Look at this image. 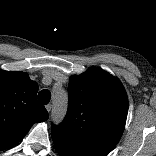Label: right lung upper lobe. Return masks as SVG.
<instances>
[{"instance_id": "cb5924a9", "label": "right lung upper lobe", "mask_w": 156, "mask_h": 156, "mask_svg": "<svg viewBox=\"0 0 156 156\" xmlns=\"http://www.w3.org/2000/svg\"><path fill=\"white\" fill-rule=\"evenodd\" d=\"M37 92V83L26 73L0 70V150L22 140L34 123L48 119Z\"/></svg>"}]
</instances>
